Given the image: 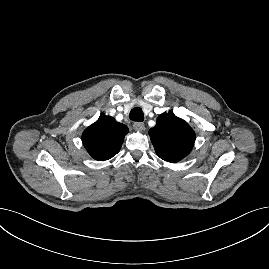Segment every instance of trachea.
<instances>
[{
	"mask_svg": "<svg viewBox=\"0 0 269 269\" xmlns=\"http://www.w3.org/2000/svg\"><path fill=\"white\" fill-rule=\"evenodd\" d=\"M129 118L132 121L142 122L144 120V114L140 107H135L130 111Z\"/></svg>",
	"mask_w": 269,
	"mask_h": 269,
	"instance_id": "3493384b",
	"label": "trachea"
}]
</instances>
